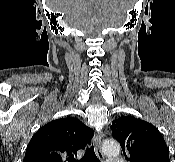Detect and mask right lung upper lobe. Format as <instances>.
I'll return each instance as SVG.
<instances>
[{
	"mask_svg": "<svg viewBox=\"0 0 175 162\" xmlns=\"http://www.w3.org/2000/svg\"><path fill=\"white\" fill-rule=\"evenodd\" d=\"M94 135L76 118H60L41 127L31 138L23 162H77L76 152Z\"/></svg>",
	"mask_w": 175,
	"mask_h": 162,
	"instance_id": "obj_1",
	"label": "right lung upper lobe"
}]
</instances>
